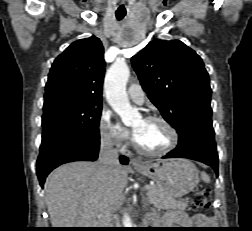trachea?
Listing matches in <instances>:
<instances>
[{
  "label": "trachea",
  "mask_w": 252,
  "mask_h": 231,
  "mask_svg": "<svg viewBox=\"0 0 252 231\" xmlns=\"http://www.w3.org/2000/svg\"><path fill=\"white\" fill-rule=\"evenodd\" d=\"M115 15H116L117 20H122L125 17L126 13L125 12H116Z\"/></svg>",
  "instance_id": "trachea-1"
}]
</instances>
